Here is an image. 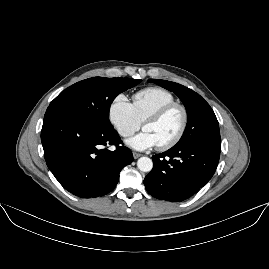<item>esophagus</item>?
Here are the masks:
<instances>
[{
	"mask_svg": "<svg viewBox=\"0 0 269 269\" xmlns=\"http://www.w3.org/2000/svg\"><path fill=\"white\" fill-rule=\"evenodd\" d=\"M133 156H134V159H137V158H139L140 156H142V154L137 153V152H133Z\"/></svg>",
	"mask_w": 269,
	"mask_h": 269,
	"instance_id": "34e87169",
	"label": "esophagus"
}]
</instances>
